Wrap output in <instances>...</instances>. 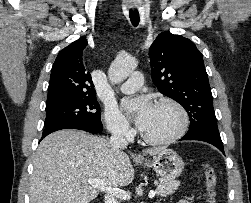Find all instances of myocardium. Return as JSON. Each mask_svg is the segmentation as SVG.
Segmentation results:
<instances>
[{
    "label": "myocardium",
    "instance_id": "1",
    "mask_svg": "<svg viewBox=\"0 0 251 203\" xmlns=\"http://www.w3.org/2000/svg\"><path fill=\"white\" fill-rule=\"evenodd\" d=\"M172 106L177 110L180 115V124L178 129L170 136L165 138H152L141 132V138L150 145H166L173 143L182 138L189 126V115L185 107L178 101L171 98L160 99L156 102L155 106Z\"/></svg>",
    "mask_w": 251,
    "mask_h": 203
}]
</instances>
